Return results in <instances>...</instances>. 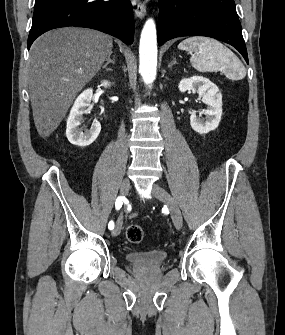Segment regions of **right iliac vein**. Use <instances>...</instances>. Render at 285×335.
I'll use <instances>...</instances> for the list:
<instances>
[{
  "label": "right iliac vein",
  "mask_w": 285,
  "mask_h": 335,
  "mask_svg": "<svg viewBox=\"0 0 285 335\" xmlns=\"http://www.w3.org/2000/svg\"><path fill=\"white\" fill-rule=\"evenodd\" d=\"M130 190V180L128 178H125L122 180L121 185H120V193L123 196H126ZM122 227V218H119L114 230L112 231V236H118L120 234Z\"/></svg>",
  "instance_id": "obj_1"
}]
</instances>
